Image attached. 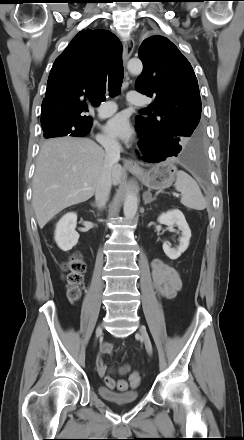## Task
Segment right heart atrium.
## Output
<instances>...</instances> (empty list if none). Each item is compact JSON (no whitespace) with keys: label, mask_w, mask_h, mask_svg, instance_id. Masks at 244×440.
Here are the masks:
<instances>
[{"label":"right heart atrium","mask_w":244,"mask_h":440,"mask_svg":"<svg viewBox=\"0 0 244 440\" xmlns=\"http://www.w3.org/2000/svg\"><path fill=\"white\" fill-rule=\"evenodd\" d=\"M98 141L103 145V146H115L116 145V141L113 140L112 138H110L109 136L105 135V134H99L98 135Z\"/></svg>","instance_id":"right-heart-atrium-1"}]
</instances>
